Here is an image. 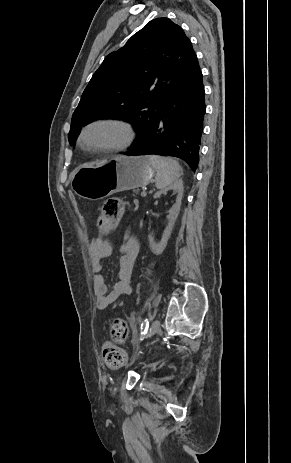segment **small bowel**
<instances>
[{
  "mask_svg": "<svg viewBox=\"0 0 291 463\" xmlns=\"http://www.w3.org/2000/svg\"><path fill=\"white\" fill-rule=\"evenodd\" d=\"M119 252L117 280L109 290L105 278L102 275V270L104 267L103 261L112 254V246L109 241L103 238L101 233L91 242L89 256L91 269L94 273L92 285L96 296V308L99 310L106 309L118 298L129 295L133 291L132 274L139 252L138 241L134 237L126 234L121 243Z\"/></svg>",
  "mask_w": 291,
  "mask_h": 463,
  "instance_id": "c3829d8e",
  "label": "small bowel"
}]
</instances>
